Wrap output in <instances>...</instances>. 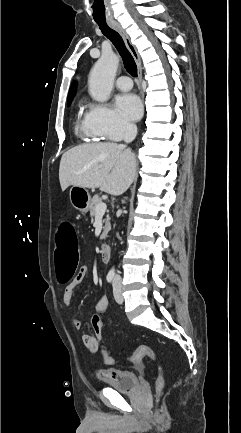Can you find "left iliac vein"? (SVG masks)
Here are the masks:
<instances>
[{"label":"left iliac vein","instance_id":"obj_1","mask_svg":"<svg viewBox=\"0 0 241 433\" xmlns=\"http://www.w3.org/2000/svg\"><path fill=\"white\" fill-rule=\"evenodd\" d=\"M113 293H114V298H115L116 302L119 304L123 303L124 299L122 296L121 285L116 280L113 283Z\"/></svg>","mask_w":241,"mask_h":433}]
</instances>
